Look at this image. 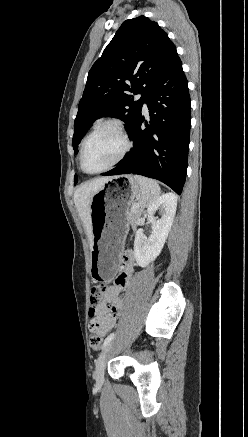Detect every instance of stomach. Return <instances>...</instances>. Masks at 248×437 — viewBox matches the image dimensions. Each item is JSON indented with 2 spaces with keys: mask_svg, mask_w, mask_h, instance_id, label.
<instances>
[{
  "mask_svg": "<svg viewBox=\"0 0 248 437\" xmlns=\"http://www.w3.org/2000/svg\"><path fill=\"white\" fill-rule=\"evenodd\" d=\"M141 189L132 175L110 178L91 199L92 278L98 286H111L118 270L123 240L129 228L127 211Z\"/></svg>",
  "mask_w": 248,
  "mask_h": 437,
  "instance_id": "1",
  "label": "stomach"
}]
</instances>
